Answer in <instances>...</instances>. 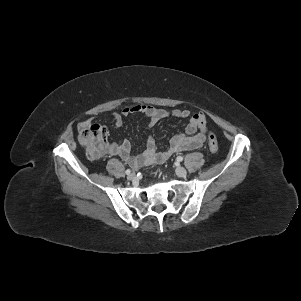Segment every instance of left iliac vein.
<instances>
[{
	"mask_svg": "<svg viewBox=\"0 0 301 301\" xmlns=\"http://www.w3.org/2000/svg\"><path fill=\"white\" fill-rule=\"evenodd\" d=\"M176 174L179 176V177H185L187 175V171L185 168L181 167V166H178L176 168Z\"/></svg>",
	"mask_w": 301,
	"mask_h": 301,
	"instance_id": "obj_1",
	"label": "left iliac vein"
}]
</instances>
